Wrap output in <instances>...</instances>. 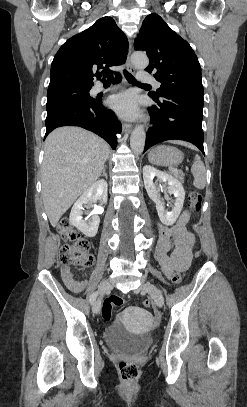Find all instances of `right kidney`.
I'll return each instance as SVG.
<instances>
[{
  "mask_svg": "<svg viewBox=\"0 0 247 407\" xmlns=\"http://www.w3.org/2000/svg\"><path fill=\"white\" fill-rule=\"evenodd\" d=\"M99 201L100 204L107 202V182L105 180H98L91 187H89L80 198L74 203L69 221L79 229L87 237H94L97 234L100 218L97 212H94L92 219L89 223L82 219L83 205H92L93 202Z\"/></svg>",
  "mask_w": 247,
  "mask_h": 407,
  "instance_id": "obj_1",
  "label": "right kidney"
}]
</instances>
